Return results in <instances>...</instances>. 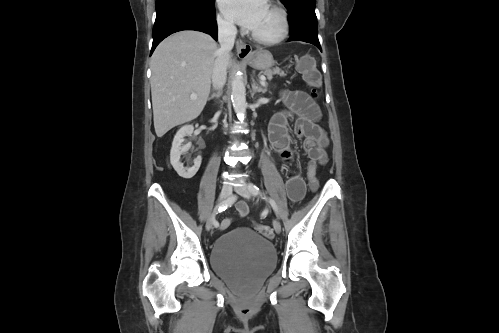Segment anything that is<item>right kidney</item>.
<instances>
[{
  "mask_svg": "<svg viewBox=\"0 0 499 333\" xmlns=\"http://www.w3.org/2000/svg\"><path fill=\"white\" fill-rule=\"evenodd\" d=\"M194 131L193 125H185L181 127L172 142V148L170 151V162L175 171L179 176L185 179L192 178L200 168L202 157L198 156L193 161V166L184 167L183 163L180 162V156L186 153L191 148V143L182 145L185 136H191Z\"/></svg>",
  "mask_w": 499,
  "mask_h": 333,
  "instance_id": "obj_1",
  "label": "right kidney"
}]
</instances>
